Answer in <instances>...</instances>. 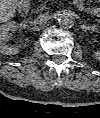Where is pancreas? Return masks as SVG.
Returning <instances> with one entry per match:
<instances>
[{
    "label": "pancreas",
    "instance_id": "cf45deb5",
    "mask_svg": "<svg viewBox=\"0 0 100 118\" xmlns=\"http://www.w3.org/2000/svg\"><path fill=\"white\" fill-rule=\"evenodd\" d=\"M45 8V4H42L39 10H42Z\"/></svg>",
    "mask_w": 100,
    "mask_h": 118
}]
</instances>
